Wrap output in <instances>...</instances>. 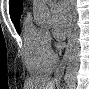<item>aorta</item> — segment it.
<instances>
[{"label":"aorta","instance_id":"aorta-1","mask_svg":"<svg viewBox=\"0 0 89 89\" xmlns=\"http://www.w3.org/2000/svg\"><path fill=\"white\" fill-rule=\"evenodd\" d=\"M72 4V34L67 49V68L64 77L65 89H76L77 74L80 65V30L77 26V11L75 0ZM34 19L37 25L48 28L51 25V15L46 0H33Z\"/></svg>","mask_w":89,"mask_h":89}]
</instances>
